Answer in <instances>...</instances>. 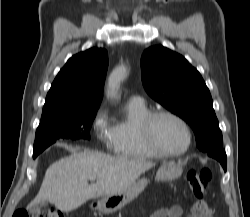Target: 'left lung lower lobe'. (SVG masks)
I'll return each mask as SVG.
<instances>
[{"label":"left lung lower lobe","instance_id":"obj_1","mask_svg":"<svg viewBox=\"0 0 250 217\" xmlns=\"http://www.w3.org/2000/svg\"><path fill=\"white\" fill-rule=\"evenodd\" d=\"M210 157L218 160L226 171L227 168V156L223 149L211 151L207 153Z\"/></svg>","mask_w":250,"mask_h":217}]
</instances>
